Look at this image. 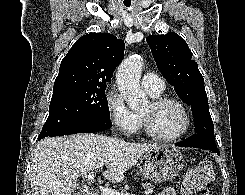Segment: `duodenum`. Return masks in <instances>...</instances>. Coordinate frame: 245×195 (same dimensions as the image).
<instances>
[{"label": "duodenum", "instance_id": "410a0bca", "mask_svg": "<svg viewBox=\"0 0 245 195\" xmlns=\"http://www.w3.org/2000/svg\"><path fill=\"white\" fill-rule=\"evenodd\" d=\"M88 195H99V193L96 191H93V192H89Z\"/></svg>", "mask_w": 245, "mask_h": 195}]
</instances>
